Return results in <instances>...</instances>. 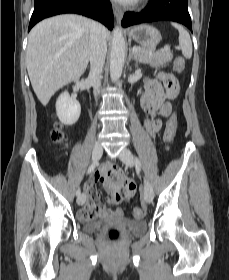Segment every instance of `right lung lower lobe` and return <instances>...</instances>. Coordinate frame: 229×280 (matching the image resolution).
Wrapping results in <instances>:
<instances>
[{
	"mask_svg": "<svg viewBox=\"0 0 229 280\" xmlns=\"http://www.w3.org/2000/svg\"><path fill=\"white\" fill-rule=\"evenodd\" d=\"M64 13L81 14L113 28L114 19L108 0H35L28 31L44 18Z\"/></svg>",
	"mask_w": 229,
	"mask_h": 280,
	"instance_id": "1",
	"label": "right lung lower lobe"
}]
</instances>
